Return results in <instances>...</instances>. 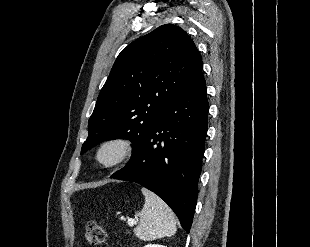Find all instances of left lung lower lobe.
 Here are the masks:
<instances>
[{"label":"left lung lower lobe","mask_w":310,"mask_h":247,"mask_svg":"<svg viewBox=\"0 0 310 247\" xmlns=\"http://www.w3.org/2000/svg\"><path fill=\"white\" fill-rule=\"evenodd\" d=\"M208 101L202 72L164 110L128 164L111 178L153 191L189 233L198 196Z\"/></svg>","instance_id":"obj_1"}]
</instances>
